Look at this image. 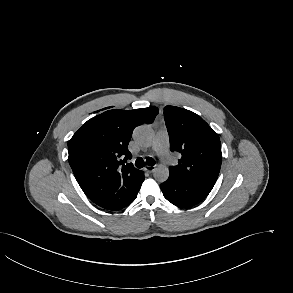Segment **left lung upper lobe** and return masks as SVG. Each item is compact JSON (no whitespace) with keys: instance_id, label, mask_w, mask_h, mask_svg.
I'll return each mask as SVG.
<instances>
[{"instance_id":"5c2ea615","label":"left lung upper lobe","mask_w":293,"mask_h":293,"mask_svg":"<svg viewBox=\"0 0 293 293\" xmlns=\"http://www.w3.org/2000/svg\"><path fill=\"white\" fill-rule=\"evenodd\" d=\"M171 151L181 153L169 173L182 179L214 185L222 154L218 134L197 114L175 106L164 108Z\"/></svg>"}]
</instances>
